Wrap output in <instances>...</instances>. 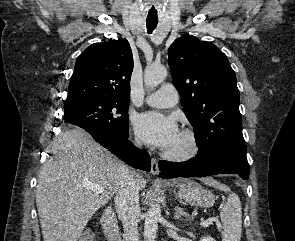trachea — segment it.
I'll return each mask as SVG.
<instances>
[{
	"label": "trachea",
	"mask_w": 295,
	"mask_h": 241,
	"mask_svg": "<svg viewBox=\"0 0 295 241\" xmlns=\"http://www.w3.org/2000/svg\"><path fill=\"white\" fill-rule=\"evenodd\" d=\"M148 33H151L157 26L158 21H146Z\"/></svg>",
	"instance_id": "trachea-1"
}]
</instances>
